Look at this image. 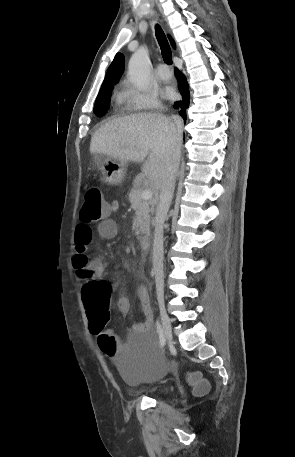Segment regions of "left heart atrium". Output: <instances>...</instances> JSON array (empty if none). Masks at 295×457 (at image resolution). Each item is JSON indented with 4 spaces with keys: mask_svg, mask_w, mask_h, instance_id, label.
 <instances>
[{
    "mask_svg": "<svg viewBox=\"0 0 295 457\" xmlns=\"http://www.w3.org/2000/svg\"><path fill=\"white\" fill-rule=\"evenodd\" d=\"M173 95H174V94H173V91H172L171 89H166V91H165V96H166L167 98H172Z\"/></svg>",
    "mask_w": 295,
    "mask_h": 457,
    "instance_id": "left-heart-atrium-1",
    "label": "left heart atrium"
}]
</instances>
